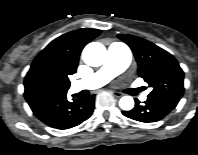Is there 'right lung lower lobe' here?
Instances as JSON below:
<instances>
[{"instance_id": "right-lung-lower-lobe-1", "label": "right lung lower lobe", "mask_w": 198, "mask_h": 155, "mask_svg": "<svg viewBox=\"0 0 198 155\" xmlns=\"http://www.w3.org/2000/svg\"><path fill=\"white\" fill-rule=\"evenodd\" d=\"M68 100L67 94L43 97L29 102L34 115L45 124L56 129H69L87 120L94 110V95L78 98L76 94Z\"/></svg>"}]
</instances>
